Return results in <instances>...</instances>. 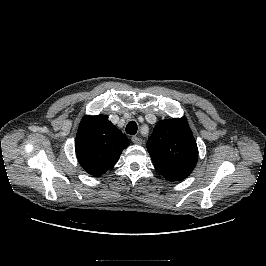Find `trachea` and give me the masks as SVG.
I'll use <instances>...</instances> for the list:
<instances>
[{
  "label": "trachea",
  "mask_w": 266,
  "mask_h": 266,
  "mask_svg": "<svg viewBox=\"0 0 266 266\" xmlns=\"http://www.w3.org/2000/svg\"><path fill=\"white\" fill-rule=\"evenodd\" d=\"M138 127L134 121H130L126 126L127 134L134 135L137 133Z\"/></svg>",
  "instance_id": "obj_1"
}]
</instances>
